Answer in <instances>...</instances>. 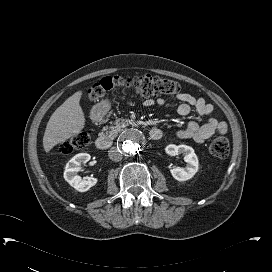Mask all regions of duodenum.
Masks as SVG:
<instances>
[{"mask_svg":"<svg viewBox=\"0 0 272 272\" xmlns=\"http://www.w3.org/2000/svg\"><path fill=\"white\" fill-rule=\"evenodd\" d=\"M106 113V109L102 106H97L90 113V118L93 122L98 123L102 120V117ZM149 137L153 140H159L162 137L160 129L153 127L149 130ZM112 144V140L107 135H100L95 142V145L100 150L108 149Z\"/></svg>","mask_w":272,"mask_h":272,"instance_id":"1","label":"duodenum"}]
</instances>
